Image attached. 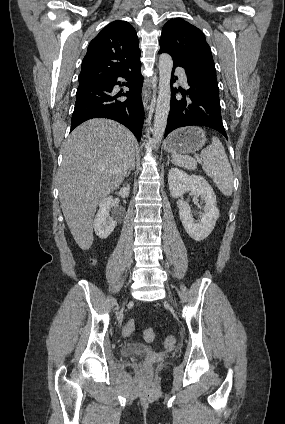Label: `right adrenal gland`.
Here are the masks:
<instances>
[{
	"label": "right adrenal gland",
	"mask_w": 285,
	"mask_h": 424,
	"mask_svg": "<svg viewBox=\"0 0 285 424\" xmlns=\"http://www.w3.org/2000/svg\"><path fill=\"white\" fill-rule=\"evenodd\" d=\"M133 169H135V158L133 159L132 164L129 167L125 177H128Z\"/></svg>",
	"instance_id": "1"
}]
</instances>
